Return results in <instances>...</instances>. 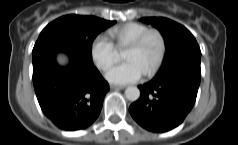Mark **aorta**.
I'll return each mask as SVG.
<instances>
[{
  "instance_id": "obj_1",
  "label": "aorta",
  "mask_w": 238,
  "mask_h": 145,
  "mask_svg": "<svg viewBox=\"0 0 238 145\" xmlns=\"http://www.w3.org/2000/svg\"><path fill=\"white\" fill-rule=\"evenodd\" d=\"M125 96L130 101H136L140 97V90L136 86H129L125 90Z\"/></svg>"
}]
</instances>
